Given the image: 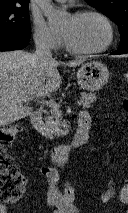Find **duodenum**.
Masks as SVG:
<instances>
[{
  "label": "duodenum",
  "instance_id": "obj_1",
  "mask_svg": "<svg viewBox=\"0 0 128 213\" xmlns=\"http://www.w3.org/2000/svg\"><path fill=\"white\" fill-rule=\"evenodd\" d=\"M30 123L35 131L43 133L42 114L40 112L32 113L30 116ZM89 128L90 117L88 115L80 114L78 118V127L73 140L67 145H60L52 148V161L56 164H63L66 162L72 151L83 146L87 142Z\"/></svg>",
  "mask_w": 128,
  "mask_h": 213
}]
</instances>
